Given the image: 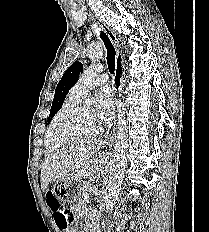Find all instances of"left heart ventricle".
<instances>
[{"label":"left heart ventricle","mask_w":209,"mask_h":232,"mask_svg":"<svg viewBox=\"0 0 209 232\" xmlns=\"http://www.w3.org/2000/svg\"><path fill=\"white\" fill-rule=\"evenodd\" d=\"M98 126L99 123L96 119V113L92 108L85 107L79 118L71 123L69 129L73 133L85 134L95 131Z\"/></svg>","instance_id":"obj_1"}]
</instances>
